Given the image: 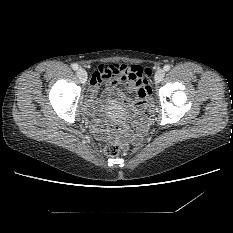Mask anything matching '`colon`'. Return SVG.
I'll use <instances>...</instances> for the list:
<instances>
[{"label": "colon", "mask_w": 233, "mask_h": 233, "mask_svg": "<svg viewBox=\"0 0 233 233\" xmlns=\"http://www.w3.org/2000/svg\"><path fill=\"white\" fill-rule=\"evenodd\" d=\"M146 72H147L148 76L152 75V71L150 69H147ZM130 81L133 83V85L138 87L137 97L139 99H145L146 101H148L149 96L147 93L148 92L151 93V88L149 86L147 88L139 87V82H138L137 78H135V77H131ZM103 151L108 156H116L119 154L120 148L116 144L110 143V144H106L103 147Z\"/></svg>", "instance_id": "1"}]
</instances>
